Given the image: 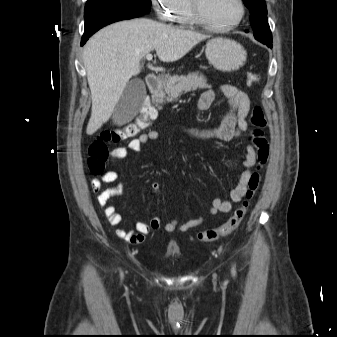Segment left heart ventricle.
I'll return each mask as SVG.
<instances>
[{
    "instance_id": "1",
    "label": "left heart ventricle",
    "mask_w": 337,
    "mask_h": 337,
    "mask_svg": "<svg viewBox=\"0 0 337 337\" xmlns=\"http://www.w3.org/2000/svg\"><path fill=\"white\" fill-rule=\"evenodd\" d=\"M205 17L212 23L226 25L234 22L240 13L237 0H200Z\"/></svg>"
}]
</instances>
